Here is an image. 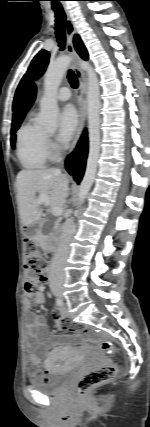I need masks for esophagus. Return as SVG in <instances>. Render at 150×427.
Instances as JSON below:
<instances>
[{"label": "esophagus", "mask_w": 150, "mask_h": 427, "mask_svg": "<svg viewBox=\"0 0 150 427\" xmlns=\"http://www.w3.org/2000/svg\"><path fill=\"white\" fill-rule=\"evenodd\" d=\"M64 11L66 14V47L67 52L69 53L71 60H72V69L75 72L78 81H79V92H78V111H79V124L78 128L74 137V140L72 142L71 147V153L76 148V145L81 137V134L85 128V122H86V102H85V92L87 89V81L83 74V71L80 67L79 60H78V54L74 48L73 45V37L76 32L75 25L73 23V20L68 12V10L64 7Z\"/></svg>", "instance_id": "34e87169"}]
</instances>
